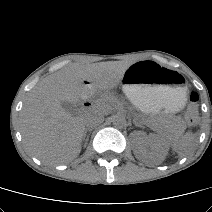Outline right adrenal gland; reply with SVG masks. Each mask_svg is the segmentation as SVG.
Returning a JSON list of instances; mask_svg holds the SVG:
<instances>
[{"label":"right adrenal gland","mask_w":212,"mask_h":212,"mask_svg":"<svg viewBox=\"0 0 212 212\" xmlns=\"http://www.w3.org/2000/svg\"><path fill=\"white\" fill-rule=\"evenodd\" d=\"M91 131H92V129H90V128H87L86 130H85V132H84V136H83V139L85 140V144H87V142H88V140H89V135L86 137V135H87V132H90L91 133Z\"/></svg>","instance_id":"obj_1"}]
</instances>
